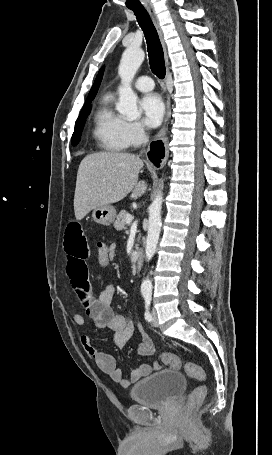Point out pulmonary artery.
I'll return each mask as SVG.
<instances>
[{
    "label": "pulmonary artery",
    "instance_id": "e3ab8cb5",
    "mask_svg": "<svg viewBox=\"0 0 272 455\" xmlns=\"http://www.w3.org/2000/svg\"><path fill=\"white\" fill-rule=\"evenodd\" d=\"M135 87L143 92L151 91L154 88L153 80L148 76H141L136 79Z\"/></svg>",
    "mask_w": 272,
    "mask_h": 455
}]
</instances>
